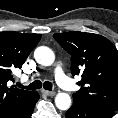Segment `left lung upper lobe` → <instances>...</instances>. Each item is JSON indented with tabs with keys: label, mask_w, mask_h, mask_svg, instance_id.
I'll return each mask as SVG.
<instances>
[{
	"label": "left lung upper lobe",
	"mask_w": 118,
	"mask_h": 118,
	"mask_svg": "<svg viewBox=\"0 0 118 118\" xmlns=\"http://www.w3.org/2000/svg\"><path fill=\"white\" fill-rule=\"evenodd\" d=\"M71 55L72 75H81L74 101L118 109V51L105 37L86 32L54 34Z\"/></svg>",
	"instance_id": "obj_1"
}]
</instances>
